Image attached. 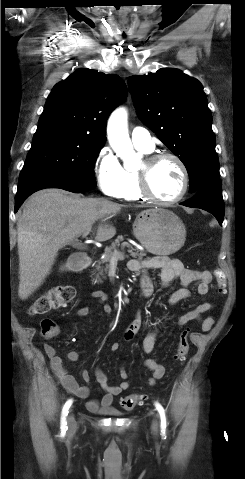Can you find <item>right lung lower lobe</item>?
Returning a JSON list of instances; mask_svg holds the SVG:
<instances>
[{"label":"right lung lower lobe","mask_w":245,"mask_h":479,"mask_svg":"<svg viewBox=\"0 0 245 479\" xmlns=\"http://www.w3.org/2000/svg\"><path fill=\"white\" fill-rule=\"evenodd\" d=\"M44 188H60L74 193L90 191L93 187L55 176H41L22 181L18 184L15 212L32 193Z\"/></svg>","instance_id":"obj_1"}]
</instances>
